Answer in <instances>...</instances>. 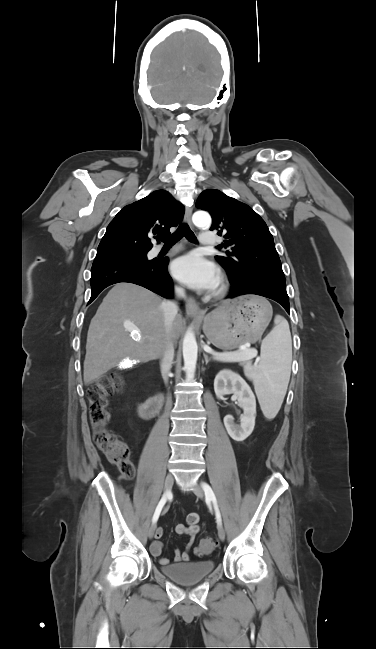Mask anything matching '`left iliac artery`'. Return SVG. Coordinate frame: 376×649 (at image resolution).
<instances>
[{
	"instance_id": "44dca946",
	"label": "left iliac artery",
	"mask_w": 376,
	"mask_h": 649,
	"mask_svg": "<svg viewBox=\"0 0 376 649\" xmlns=\"http://www.w3.org/2000/svg\"><path fill=\"white\" fill-rule=\"evenodd\" d=\"M202 487H203V490L205 492L206 498L213 502L215 512H216L217 522H218V524H221V515H220L218 505H217V500H216V497H215V494H214L212 488L207 483H202Z\"/></svg>"
}]
</instances>
